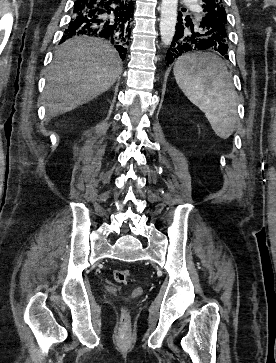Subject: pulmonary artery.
<instances>
[{
	"instance_id": "obj_1",
	"label": "pulmonary artery",
	"mask_w": 276,
	"mask_h": 363,
	"mask_svg": "<svg viewBox=\"0 0 276 363\" xmlns=\"http://www.w3.org/2000/svg\"><path fill=\"white\" fill-rule=\"evenodd\" d=\"M194 6H197V4L195 3V4H193ZM197 11H200V9H198Z\"/></svg>"
}]
</instances>
